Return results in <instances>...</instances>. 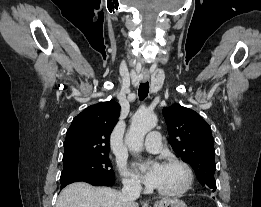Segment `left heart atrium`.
Segmentation results:
<instances>
[{"mask_svg":"<svg viewBox=\"0 0 261 207\" xmlns=\"http://www.w3.org/2000/svg\"><path fill=\"white\" fill-rule=\"evenodd\" d=\"M162 166L163 165L160 163H154L147 171H145L142 174V178L147 185L151 187H156L159 180ZM138 168L143 169V165L139 164Z\"/></svg>","mask_w":261,"mask_h":207,"instance_id":"obj_1","label":"left heart atrium"}]
</instances>
